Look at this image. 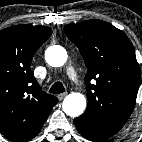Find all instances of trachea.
<instances>
[{
	"label": "trachea",
	"mask_w": 142,
	"mask_h": 142,
	"mask_svg": "<svg viewBox=\"0 0 142 142\" xmlns=\"http://www.w3.org/2000/svg\"><path fill=\"white\" fill-rule=\"evenodd\" d=\"M50 93L60 94L65 92V88L61 82H55L49 90Z\"/></svg>",
	"instance_id": "1"
}]
</instances>
